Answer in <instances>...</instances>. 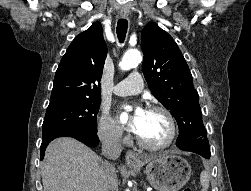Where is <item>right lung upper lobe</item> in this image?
Segmentation results:
<instances>
[{"instance_id":"cb5924a9","label":"right lung upper lobe","mask_w":251,"mask_h":191,"mask_svg":"<svg viewBox=\"0 0 251 191\" xmlns=\"http://www.w3.org/2000/svg\"><path fill=\"white\" fill-rule=\"evenodd\" d=\"M106 55L102 26L93 23L75 37L60 61L49 106L101 99L99 82Z\"/></svg>"}]
</instances>
